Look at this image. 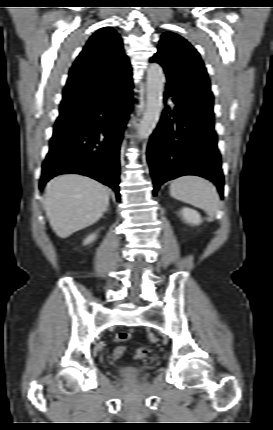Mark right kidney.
<instances>
[{
    "label": "right kidney",
    "mask_w": 273,
    "mask_h": 430,
    "mask_svg": "<svg viewBox=\"0 0 273 430\" xmlns=\"http://www.w3.org/2000/svg\"><path fill=\"white\" fill-rule=\"evenodd\" d=\"M95 238H96V234H91V235H89V236L84 240V244L86 245V244L91 243L92 241H94V240H95Z\"/></svg>",
    "instance_id": "right-kidney-1"
}]
</instances>
